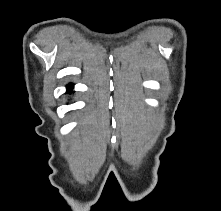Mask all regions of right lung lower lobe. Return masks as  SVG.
<instances>
[{"label": "right lung lower lobe", "instance_id": "obj_1", "mask_svg": "<svg viewBox=\"0 0 221 211\" xmlns=\"http://www.w3.org/2000/svg\"><path fill=\"white\" fill-rule=\"evenodd\" d=\"M72 86H73V84H71L70 87H68L67 92H69V93L72 92V90H71Z\"/></svg>", "mask_w": 221, "mask_h": 211}]
</instances>
